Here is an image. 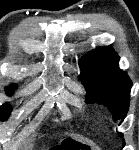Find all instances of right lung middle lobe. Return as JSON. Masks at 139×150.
<instances>
[{
    "label": "right lung middle lobe",
    "instance_id": "right-lung-middle-lobe-1",
    "mask_svg": "<svg viewBox=\"0 0 139 150\" xmlns=\"http://www.w3.org/2000/svg\"><path fill=\"white\" fill-rule=\"evenodd\" d=\"M12 87L16 88V85H12ZM7 93L8 94H11V90H7ZM11 109L12 107L9 105V104H3L1 107H0V120L1 121H4L11 113Z\"/></svg>",
    "mask_w": 139,
    "mask_h": 150
}]
</instances>
